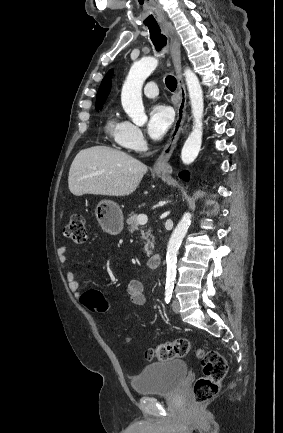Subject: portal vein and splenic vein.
Here are the masks:
<instances>
[{"instance_id":"18ae733b","label":"portal vein and splenic vein","mask_w":283,"mask_h":433,"mask_svg":"<svg viewBox=\"0 0 283 433\" xmlns=\"http://www.w3.org/2000/svg\"><path fill=\"white\" fill-rule=\"evenodd\" d=\"M147 221H148L147 214H138L137 223H139V225H145Z\"/></svg>"}]
</instances>
